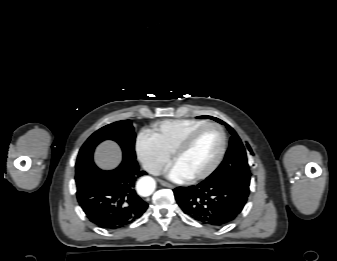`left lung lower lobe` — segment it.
Segmentation results:
<instances>
[{
    "mask_svg": "<svg viewBox=\"0 0 337 261\" xmlns=\"http://www.w3.org/2000/svg\"><path fill=\"white\" fill-rule=\"evenodd\" d=\"M183 212L209 226H224L242 211L248 195L234 185L221 180L205 179L196 186L173 190Z\"/></svg>",
    "mask_w": 337,
    "mask_h": 261,
    "instance_id": "left-lung-lower-lobe-1",
    "label": "left lung lower lobe"
}]
</instances>
